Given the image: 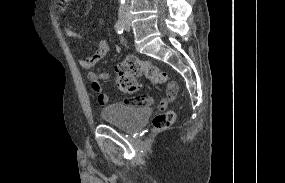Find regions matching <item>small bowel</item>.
<instances>
[{
  "mask_svg": "<svg viewBox=\"0 0 285 183\" xmlns=\"http://www.w3.org/2000/svg\"><path fill=\"white\" fill-rule=\"evenodd\" d=\"M69 2L70 0H64V2H62L60 5L59 10L61 12L66 11ZM64 32L68 37L83 43L86 47L88 46L86 38L81 33L75 31L70 27H66L64 29ZM122 43H124L123 39ZM109 49L110 45L107 39L98 41L95 46V50L92 53L80 58V65L87 70L93 69L96 64L106 56ZM107 78V73L95 71H90L88 73V79L90 81L91 88L97 94V100L100 105H106L109 102L108 95L103 88V81H105ZM176 91L177 84L175 82H170L167 86L166 97L160 102V108H166L174 100Z\"/></svg>",
  "mask_w": 285,
  "mask_h": 183,
  "instance_id": "small-bowel-1",
  "label": "small bowel"
}]
</instances>
